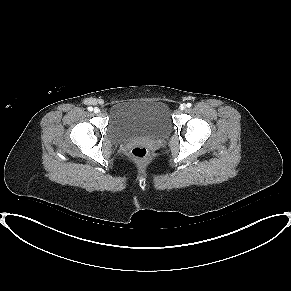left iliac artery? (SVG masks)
<instances>
[{
    "instance_id": "44dca946",
    "label": "left iliac artery",
    "mask_w": 291,
    "mask_h": 291,
    "mask_svg": "<svg viewBox=\"0 0 291 291\" xmlns=\"http://www.w3.org/2000/svg\"><path fill=\"white\" fill-rule=\"evenodd\" d=\"M186 106H187L188 108H190V107H191V103H187Z\"/></svg>"
}]
</instances>
